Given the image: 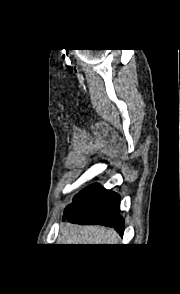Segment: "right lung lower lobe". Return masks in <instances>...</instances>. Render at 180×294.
<instances>
[{"label":"right lung lower lobe","instance_id":"obj_1","mask_svg":"<svg viewBox=\"0 0 180 294\" xmlns=\"http://www.w3.org/2000/svg\"><path fill=\"white\" fill-rule=\"evenodd\" d=\"M120 213V198L100 185H91L78 193L64 211L63 219L78 224H100L113 227L121 236L124 220Z\"/></svg>","mask_w":180,"mask_h":294}]
</instances>
